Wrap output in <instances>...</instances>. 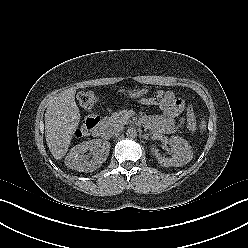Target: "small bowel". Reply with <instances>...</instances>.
Masks as SVG:
<instances>
[{"label":"small bowel","instance_id":"obj_1","mask_svg":"<svg viewBox=\"0 0 248 248\" xmlns=\"http://www.w3.org/2000/svg\"><path fill=\"white\" fill-rule=\"evenodd\" d=\"M156 95L165 97L164 102L158 104L160 110L162 111V117L156 119H148L147 122L156 131L170 133L173 131L174 128L172 120L181 114L184 108V102L181 99L174 98V95L168 91H159L154 94V96ZM152 98L145 99L143 100V102L146 104H154ZM181 122L182 121H180V123Z\"/></svg>","mask_w":248,"mask_h":248}]
</instances>
